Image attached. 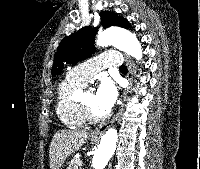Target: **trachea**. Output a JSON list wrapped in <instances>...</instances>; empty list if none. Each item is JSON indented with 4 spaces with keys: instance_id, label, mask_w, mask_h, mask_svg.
Returning a JSON list of instances; mask_svg holds the SVG:
<instances>
[{
    "instance_id": "trachea-1",
    "label": "trachea",
    "mask_w": 200,
    "mask_h": 169,
    "mask_svg": "<svg viewBox=\"0 0 200 169\" xmlns=\"http://www.w3.org/2000/svg\"><path fill=\"white\" fill-rule=\"evenodd\" d=\"M120 71H128L127 67L125 65L120 66L119 68Z\"/></svg>"
}]
</instances>
